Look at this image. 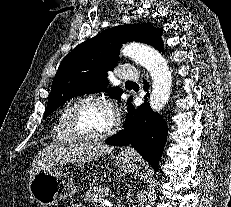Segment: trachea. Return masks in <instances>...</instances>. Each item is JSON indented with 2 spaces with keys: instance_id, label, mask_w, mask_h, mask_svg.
I'll use <instances>...</instances> for the list:
<instances>
[{
  "instance_id": "3493384b",
  "label": "trachea",
  "mask_w": 231,
  "mask_h": 207,
  "mask_svg": "<svg viewBox=\"0 0 231 207\" xmlns=\"http://www.w3.org/2000/svg\"><path fill=\"white\" fill-rule=\"evenodd\" d=\"M127 83H128V84H129V83L131 84V83H134V82L128 81Z\"/></svg>"
}]
</instances>
